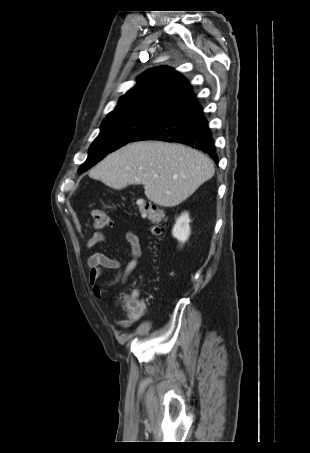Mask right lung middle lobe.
Segmentation results:
<instances>
[{
    "label": "right lung middle lobe",
    "mask_w": 310,
    "mask_h": 453,
    "mask_svg": "<svg viewBox=\"0 0 310 453\" xmlns=\"http://www.w3.org/2000/svg\"><path fill=\"white\" fill-rule=\"evenodd\" d=\"M158 116L117 115L106 117L101 132L89 148L88 158L78 170L84 172L98 163L107 154L133 142Z\"/></svg>",
    "instance_id": "obj_1"
}]
</instances>
